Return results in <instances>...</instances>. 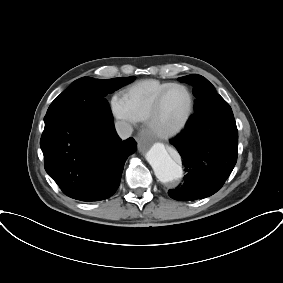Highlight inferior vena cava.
<instances>
[{
    "instance_id": "1",
    "label": "inferior vena cava",
    "mask_w": 283,
    "mask_h": 283,
    "mask_svg": "<svg viewBox=\"0 0 283 283\" xmlns=\"http://www.w3.org/2000/svg\"><path fill=\"white\" fill-rule=\"evenodd\" d=\"M115 129L121 139H127L133 132L132 126L125 121L115 122Z\"/></svg>"
}]
</instances>
